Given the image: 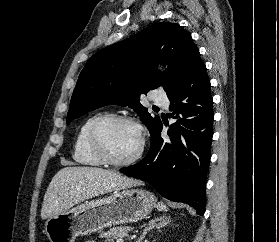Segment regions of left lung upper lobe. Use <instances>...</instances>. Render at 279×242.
Segmentation results:
<instances>
[{
	"instance_id": "5c2ea615",
	"label": "left lung upper lobe",
	"mask_w": 279,
	"mask_h": 242,
	"mask_svg": "<svg viewBox=\"0 0 279 242\" xmlns=\"http://www.w3.org/2000/svg\"><path fill=\"white\" fill-rule=\"evenodd\" d=\"M198 48L174 23H158L94 54L81 71L67 122L109 104L133 108L150 134L161 123L140 103V95L163 87L167 95L182 81ZM168 65L161 73L156 63Z\"/></svg>"
}]
</instances>
